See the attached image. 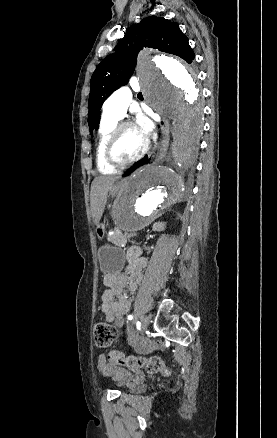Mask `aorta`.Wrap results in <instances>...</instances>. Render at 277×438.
I'll return each mask as SVG.
<instances>
[{
    "label": "aorta",
    "mask_w": 277,
    "mask_h": 438,
    "mask_svg": "<svg viewBox=\"0 0 277 438\" xmlns=\"http://www.w3.org/2000/svg\"><path fill=\"white\" fill-rule=\"evenodd\" d=\"M137 75L148 103L172 120L173 155L186 167L201 132L200 83L193 66L165 55H141ZM181 177L166 166H147L126 183L114 204V217L125 232L138 231L179 201Z\"/></svg>",
    "instance_id": "obj_1"
}]
</instances>
